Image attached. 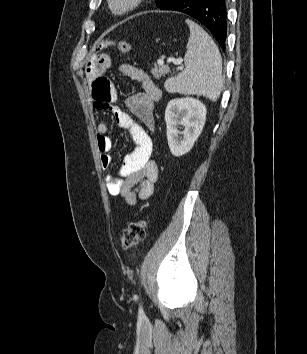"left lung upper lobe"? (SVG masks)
Returning <instances> with one entry per match:
<instances>
[{
    "label": "left lung upper lobe",
    "instance_id": "left-lung-upper-lobe-1",
    "mask_svg": "<svg viewBox=\"0 0 307 354\" xmlns=\"http://www.w3.org/2000/svg\"><path fill=\"white\" fill-rule=\"evenodd\" d=\"M170 0H156V5L157 7L161 8L163 7L165 4H167Z\"/></svg>",
    "mask_w": 307,
    "mask_h": 354
}]
</instances>
